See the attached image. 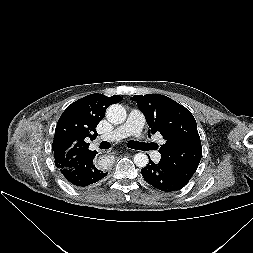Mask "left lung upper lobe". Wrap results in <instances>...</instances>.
<instances>
[{
	"label": "left lung upper lobe",
	"mask_w": 253,
	"mask_h": 253,
	"mask_svg": "<svg viewBox=\"0 0 253 253\" xmlns=\"http://www.w3.org/2000/svg\"><path fill=\"white\" fill-rule=\"evenodd\" d=\"M151 128L149 133H160L165 139L159 152L160 162L174 174L189 181L202 155L197 124L191 112L176 101L159 94L134 95Z\"/></svg>",
	"instance_id": "1"
}]
</instances>
